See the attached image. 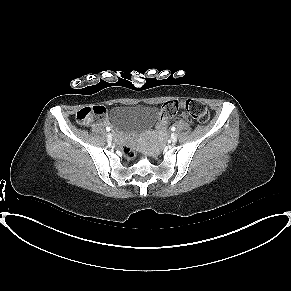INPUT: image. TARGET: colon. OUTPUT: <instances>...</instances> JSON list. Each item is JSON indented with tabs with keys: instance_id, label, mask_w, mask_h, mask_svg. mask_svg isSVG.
<instances>
[{
	"instance_id": "5ec220e1",
	"label": "colon",
	"mask_w": 291,
	"mask_h": 291,
	"mask_svg": "<svg viewBox=\"0 0 291 291\" xmlns=\"http://www.w3.org/2000/svg\"><path fill=\"white\" fill-rule=\"evenodd\" d=\"M180 111L189 113L196 121L205 123L209 119V111L204 103L199 100H171L163 104L161 109V116L157 123V129L164 131L167 124ZM107 119V112L103 106H89L80 109L76 114L78 123L87 125L93 122H104ZM123 154L126 158H132L133 151L130 143L123 146Z\"/></svg>"
}]
</instances>
